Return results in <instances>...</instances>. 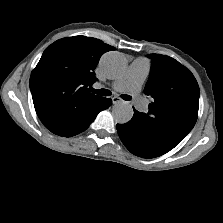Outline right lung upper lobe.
Returning <instances> with one entry per match:
<instances>
[{
  "label": "right lung upper lobe",
  "instance_id": "cb5924a9",
  "mask_svg": "<svg viewBox=\"0 0 223 223\" xmlns=\"http://www.w3.org/2000/svg\"><path fill=\"white\" fill-rule=\"evenodd\" d=\"M101 40L74 36L60 39L43 53L30 77L37 115L47 129L73 132L93 118L103 97L89 92L94 69L107 51Z\"/></svg>",
  "mask_w": 223,
  "mask_h": 223
}]
</instances>
